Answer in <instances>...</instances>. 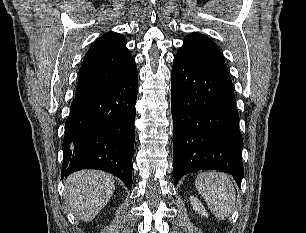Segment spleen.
Instances as JSON below:
<instances>
[{
	"label": "spleen",
	"instance_id": "spleen-1",
	"mask_svg": "<svg viewBox=\"0 0 306 233\" xmlns=\"http://www.w3.org/2000/svg\"><path fill=\"white\" fill-rule=\"evenodd\" d=\"M195 187L219 220H225L232 213L236 193L227 174L217 171L199 173Z\"/></svg>",
	"mask_w": 306,
	"mask_h": 233
}]
</instances>
